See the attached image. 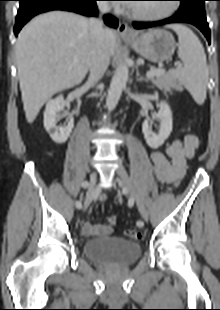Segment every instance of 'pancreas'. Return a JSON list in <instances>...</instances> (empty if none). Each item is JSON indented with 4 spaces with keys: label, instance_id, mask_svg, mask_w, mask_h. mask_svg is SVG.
Instances as JSON below:
<instances>
[{
    "label": "pancreas",
    "instance_id": "1",
    "mask_svg": "<svg viewBox=\"0 0 220 310\" xmlns=\"http://www.w3.org/2000/svg\"><path fill=\"white\" fill-rule=\"evenodd\" d=\"M152 69L153 68H151V70ZM150 80L154 85H156L159 89L163 90L165 93L170 92L171 89L177 88V80L173 71L163 73L159 76H154L150 78Z\"/></svg>",
    "mask_w": 220,
    "mask_h": 310
}]
</instances>
